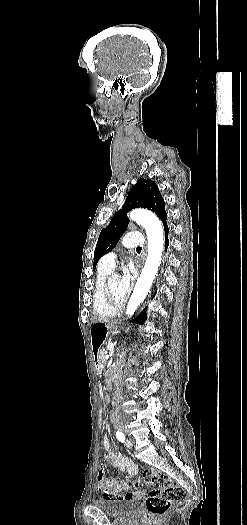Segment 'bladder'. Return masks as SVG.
I'll list each match as a JSON object with an SVG mask.
<instances>
[{
  "instance_id": "bladder-1",
  "label": "bladder",
  "mask_w": 247,
  "mask_h": 525,
  "mask_svg": "<svg viewBox=\"0 0 247 525\" xmlns=\"http://www.w3.org/2000/svg\"><path fill=\"white\" fill-rule=\"evenodd\" d=\"M93 506L100 509L105 515L112 518H123L142 508V502L137 498H95Z\"/></svg>"
}]
</instances>
